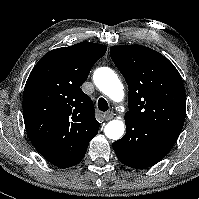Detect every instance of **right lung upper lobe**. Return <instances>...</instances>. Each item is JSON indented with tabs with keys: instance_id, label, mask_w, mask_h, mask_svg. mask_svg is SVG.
Wrapping results in <instances>:
<instances>
[{
	"instance_id": "right-lung-upper-lobe-1",
	"label": "right lung upper lobe",
	"mask_w": 199,
	"mask_h": 199,
	"mask_svg": "<svg viewBox=\"0 0 199 199\" xmlns=\"http://www.w3.org/2000/svg\"><path fill=\"white\" fill-rule=\"evenodd\" d=\"M106 50L89 42L54 49L27 79L22 103L26 132L36 150L57 167L77 165L98 133L93 102L80 86Z\"/></svg>"
}]
</instances>
